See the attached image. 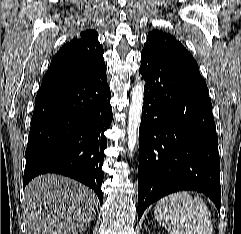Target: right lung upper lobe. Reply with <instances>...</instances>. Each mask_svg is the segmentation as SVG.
Wrapping results in <instances>:
<instances>
[{
  "instance_id": "right-lung-upper-lobe-1",
  "label": "right lung upper lobe",
  "mask_w": 241,
  "mask_h": 234,
  "mask_svg": "<svg viewBox=\"0 0 241 234\" xmlns=\"http://www.w3.org/2000/svg\"><path fill=\"white\" fill-rule=\"evenodd\" d=\"M103 53L98 33L83 31L64 44L52 58L39 92L71 86L99 74L106 69Z\"/></svg>"
}]
</instances>
